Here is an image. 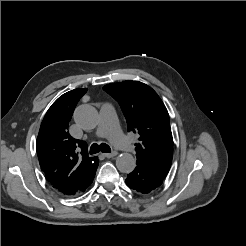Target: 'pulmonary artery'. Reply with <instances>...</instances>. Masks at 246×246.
I'll return each mask as SVG.
<instances>
[{
  "label": "pulmonary artery",
  "mask_w": 246,
  "mask_h": 246,
  "mask_svg": "<svg viewBox=\"0 0 246 246\" xmlns=\"http://www.w3.org/2000/svg\"><path fill=\"white\" fill-rule=\"evenodd\" d=\"M96 135L110 139L121 150L130 153L135 152L134 146L120 130L115 110L109 103L103 104L100 109V119Z\"/></svg>",
  "instance_id": "obj_1"
}]
</instances>
